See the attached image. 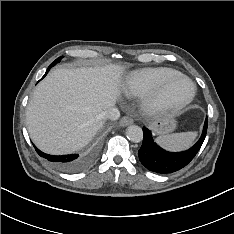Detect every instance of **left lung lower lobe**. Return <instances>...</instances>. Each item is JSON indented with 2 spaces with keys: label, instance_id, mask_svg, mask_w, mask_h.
Instances as JSON below:
<instances>
[{
  "label": "left lung lower lobe",
  "instance_id": "obj_1",
  "mask_svg": "<svg viewBox=\"0 0 234 234\" xmlns=\"http://www.w3.org/2000/svg\"><path fill=\"white\" fill-rule=\"evenodd\" d=\"M208 118H206L203 132L197 143L190 149L173 153L159 147L151 136V131L143 127V143L138 151L140 162L150 171L166 174L185 167L198 153L206 137Z\"/></svg>",
  "mask_w": 234,
  "mask_h": 234
}]
</instances>
